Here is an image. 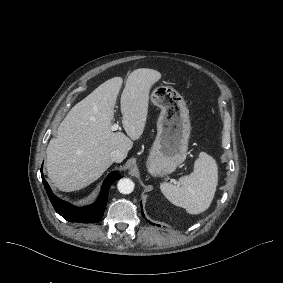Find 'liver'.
<instances>
[{
    "label": "liver",
    "instance_id": "obj_1",
    "mask_svg": "<svg viewBox=\"0 0 283 283\" xmlns=\"http://www.w3.org/2000/svg\"><path fill=\"white\" fill-rule=\"evenodd\" d=\"M159 77L157 71L145 68L128 76L120 99L122 125L128 136L110 130L122 86L120 77L100 84L69 110L46 149L47 175L56 189L69 192L96 181L113 163V150L127 156L144 129L148 88Z\"/></svg>",
    "mask_w": 283,
    "mask_h": 283
}]
</instances>
